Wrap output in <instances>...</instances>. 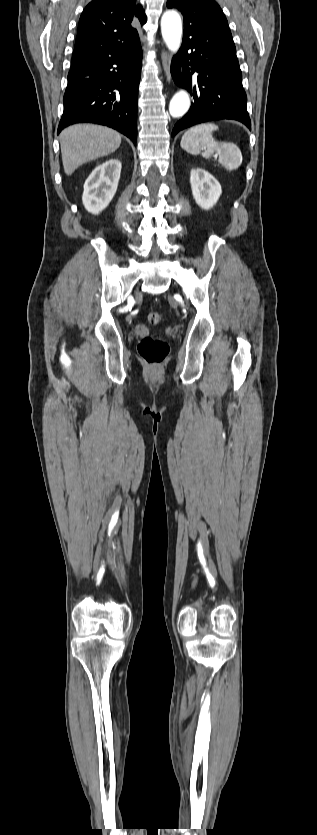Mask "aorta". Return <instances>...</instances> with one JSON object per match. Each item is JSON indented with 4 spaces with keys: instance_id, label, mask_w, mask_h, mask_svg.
<instances>
[{
    "instance_id": "762f6f07",
    "label": "aorta",
    "mask_w": 317,
    "mask_h": 835,
    "mask_svg": "<svg viewBox=\"0 0 317 835\" xmlns=\"http://www.w3.org/2000/svg\"><path fill=\"white\" fill-rule=\"evenodd\" d=\"M161 32L163 40L168 49L175 54L182 39V21L180 15L169 10L163 13L161 18ZM190 108L189 94L185 90L177 92L170 101L169 113L173 118L182 117Z\"/></svg>"
}]
</instances>
